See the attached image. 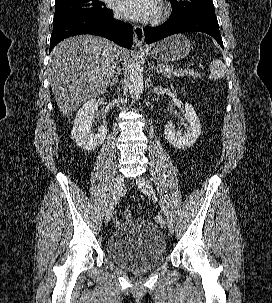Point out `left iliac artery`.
I'll return each mask as SVG.
<instances>
[{
    "label": "left iliac artery",
    "instance_id": "1",
    "mask_svg": "<svg viewBox=\"0 0 272 303\" xmlns=\"http://www.w3.org/2000/svg\"><path fill=\"white\" fill-rule=\"evenodd\" d=\"M159 205H160V208L163 210V212H164L165 215H166L167 222H172L171 213H168V212H167V210H166V208H165L164 201H162V199L159 200Z\"/></svg>",
    "mask_w": 272,
    "mask_h": 303
}]
</instances>
